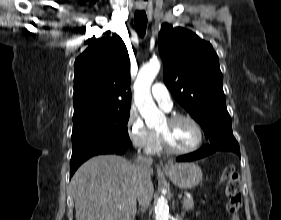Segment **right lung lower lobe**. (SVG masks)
I'll use <instances>...</instances> for the list:
<instances>
[{"instance_id": "98d812e1", "label": "right lung lower lobe", "mask_w": 281, "mask_h": 220, "mask_svg": "<svg viewBox=\"0 0 281 220\" xmlns=\"http://www.w3.org/2000/svg\"><path fill=\"white\" fill-rule=\"evenodd\" d=\"M129 147L130 146L126 145L111 144L105 146L83 147L72 152L70 177L74 174L77 168L90 157L101 154H123Z\"/></svg>"}]
</instances>
